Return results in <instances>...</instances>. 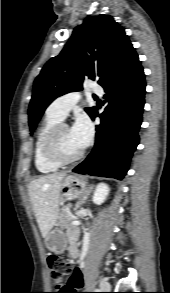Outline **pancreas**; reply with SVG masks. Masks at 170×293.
<instances>
[{"instance_id": "cf45deb5", "label": "pancreas", "mask_w": 170, "mask_h": 293, "mask_svg": "<svg viewBox=\"0 0 170 293\" xmlns=\"http://www.w3.org/2000/svg\"><path fill=\"white\" fill-rule=\"evenodd\" d=\"M76 217L70 210V206L65 207L61 210L59 217H58V226L61 229H70L75 228L74 225L71 224V221L75 220Z\"/></svg>"}]
</instances>
